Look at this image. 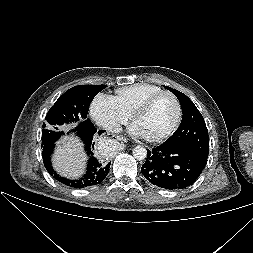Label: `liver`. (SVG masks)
Returning <instances> with one entry per match:
<instances>
[{
    "label": "liver",
    "instance_id": "1",
    "mask_svg": "<svg viewBox=\"0 0 253 253\" xmlns=\"http://www.w3.org/2000/svg\"><path fill=\"white\" fill-rule=\"evenodd\" d=\"M71 127L64 126L62 130L68 132ZM86 155L82 144L77 138L65 136L59 143L53 155V166L63 176L77 178L83 174Z\"/></svg>",
    "mask_w": 253,
    "mask_h": 253
}]
</instances>
